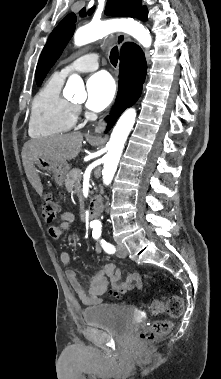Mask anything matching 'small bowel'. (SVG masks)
I'll return each instance as SVG.
<instances>
[{
    "instance_id": "small-bowel-1",
    "label": "small bowel",
    "mask_w": 221,
    "mask_h": 379,
    "mask_svg": "<svg viewBox=\"0 0 221 379\" xmlns=\"http://www.w3.org/2000/svg\"><path fill=\"white\" fill-rule=\"evenodd\" d=\"M76 218L70 211H66L61 215L60 223L57 226L49 229V234L52 238H60L71 226L75 223ZM99 252V248H97ZM71 256L67 251L60 254V261L63 265L70 263ZM66 277L79 299L85 305H95L101 302V296L108 290L115 294L124 293L142 287L141 275L137 272H130L126 276L124 282H120L121 271L112 263L103 265L89 280L87 289L83 287L74 270H67Z\"/></svg>"
}]
</instances>
